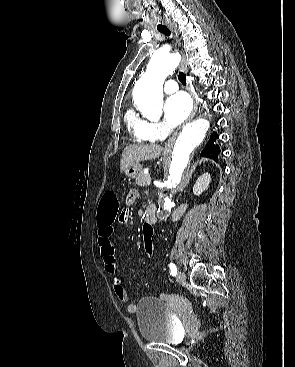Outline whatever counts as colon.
<instances>
[{
  "mask_svg": "<svg viewBox=\"0 0 295 367\" xmlns=\"http://www.w3.org/2000/svg\"><path fill=\"white\" fill-rule=\"evenodd\" d=\"M119 212L120 208L117 196L113 192H105L100 200L98 220L106 222L117 220ZM140 229L142 244L145 247L146 253L151 255L155 244V230L153 225L147 221L141 224Z\"/></svg>",
  "mask_w": 295,
  "mask_h": 367,
  "instance_id": "1",
  "label": "colon"
}]
</instances>
